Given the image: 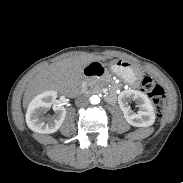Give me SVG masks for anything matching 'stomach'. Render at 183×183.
Returning <instances> with one entry per match:
<instances>
[{
    "mask_svg": "<svg viewBox=\"0 0 183 183\" xmlns=\"http://www.w3.org/2000/svg\"><path fill=\"white\" fill-rule=\"evenodd\" d=\"M109 65L112 72L123 78L127 83L131 85L140 83L143 71L139 67L122 59L113 60Z\"/></svg>",
    "mask_w": 183,
    "mask_h": 183,
    "instance_id": "0dacf381",
    "label": "stomach"
}]
</instances>
